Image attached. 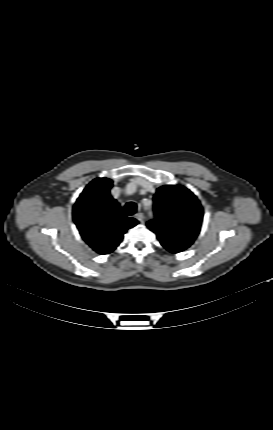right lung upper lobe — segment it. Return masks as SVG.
<instances>
[{"mask_svg": "<svg viewBox=\"0 0 273 430\" xmlns=\"http://www.w3.org/2000/svg\"><path fill=\"white\" fill-rule=\"evenodd\" d=\"M112 181L96 178L83 190L73 207V219L85 242L99 254H109L123 234L138 224L127 217L110 195Z\"/></svg>", "mask_w": 273, "mask_h": 430, "instance_id": "right-lung-upper-lobe-1", "label": "right lung upper lobe"}]
</instances>
